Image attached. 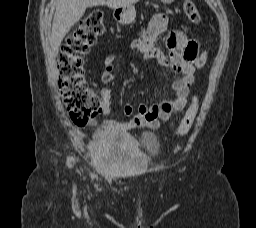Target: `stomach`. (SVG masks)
Instances as JSON below:
<instances>
[{
    "mask_svg": "<svg viewBox=\"0 0 256 228\" xmlns=\"http://www.w3.org/2000/svg\"><path fill=\"white\" fill-rule=\"evenodd\" d=\"M165 4H170L174 0H161ZM115 19L123 24H130L134 21L136 17V10L133 5H129L126 7L117 8L114 11Z\"/></svg>",
    "mask_w": 256,
    "mask_h": 228,
    "instance_id": "stomach-1",
    "label": "stomach"
}]
</instances>
